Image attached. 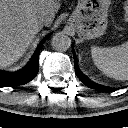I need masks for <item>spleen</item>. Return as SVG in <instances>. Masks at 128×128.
<instances>
[{"label": "spleen", "mask_w": 128, "mask_h": 128, "mask_svg": "<svg viewBox=\"0 0 128 128\" xmlns=\"http://www.w3.org/2000/svg\"><path fill=\"white\" fill-rule=\"evenodd\" d=\"M91 55L97 68L105 75L121 81L128 80V41L108 48L92 46Z\"/></svg>", "instance_id": "1"}]
</instances>
